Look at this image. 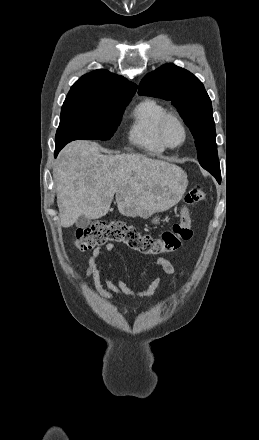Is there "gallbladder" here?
Returning a JSON list of instances; mask_svg holds the SVG:
<instances>
[{
    "mask_svg": "<svg viewBox=\"0 0 259 440\" xmlns=\"http://www.w3.org/2000/svg\"><path fill=\"white\" fill-rule=\"evenodd\" d=\"M90 225V219L81 215L76 221V227L78 228H87Z\"/></svg>",
    "mask_w": 259,
    "mask_h": 440,
    "instance_id": "1",
    "label": "gallbladder"
}]
</instances>
